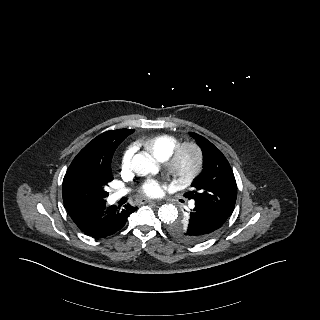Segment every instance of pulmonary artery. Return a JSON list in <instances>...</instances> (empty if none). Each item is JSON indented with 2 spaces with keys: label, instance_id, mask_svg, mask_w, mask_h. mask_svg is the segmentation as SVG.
Segmentation results:
<instances>
[{
  "label": "pulmonary artery",
  "instance_id": "obj_1",
  "mask_svg": "<svg viewBox=\"0 0 320 320\" xmlns=\"http://www.w3.org/2000/svg\"><path fill=\"white\" fill-rule=\"evenodd\" d=\"M126 193H127L126 190L116 191V192L113 194V199H119V198H121L122 196H124ZM190 206L193 207L194 204L191 203Z\"/></svg>",
  "mask_w": 320,
  "mask_h": 320
}]
</instances>
